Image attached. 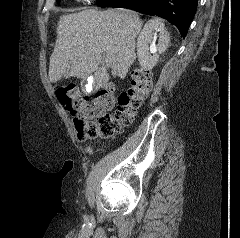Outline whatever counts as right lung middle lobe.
<instances>
[{
	"instance_id": "obj_1",
	"label": "right lung middle lobe",
	"mask_w": 240,
	"mask_h": 238,
	"mask_svg": "<svg viewBox=\"0 0 240 238\" xmlns=\"http://www.w3.org/2000/svg\"><path fill=\"white\" fill-rule=\"evenodd\" d=\"M60 2V0H57V3H59Z\"/></svg>"
}]
</instances>
